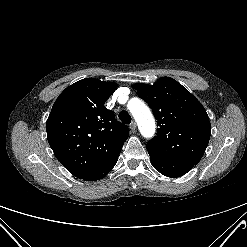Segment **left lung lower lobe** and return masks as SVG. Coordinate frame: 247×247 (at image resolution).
Masks as SVG:
<instances>
[{"instance_id": "1", "label": "left lung lower lobe", "mask_w": 247, "mask_h": 247, "mask_svg": "<svg viewBox=\"0 0 247 247\" xmlns=\"http://www.w3.org/2000/svg\"><path fill=\"white\" fill-rule=\"evenodd\" d=\"M148 153L153 167L167 177H180L190 171L194 166L171 160L150 150H148Z\"/></svg>"}]
</instances>
